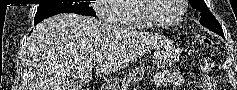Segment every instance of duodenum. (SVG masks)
<instances>
[{"mask_svg": "<svg viewBox=\"0 0 237 90\" xmlns=\"http://www.w3.org/2000/svg\"><path fill=\"white\" fill-rule=\"evenodd\" d=\"M99 90H112V87H99Z\"/></svg>", "mask_w": 237, "mask_h": 90, "instance_id": "obj_1", "label": "duodenum"}]
</instances>
